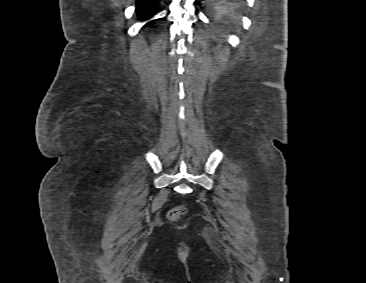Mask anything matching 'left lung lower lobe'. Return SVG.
I'll list each match as a JSON object with an SVG mask.
<instances>
[{
	"mask_svg": "<svg viewBox=\"0 0 366 283\" xmlns=\"http://www.w3.org/2000/svg\"><path fill=\"white\" fill-rule=\"evenodd\" d=\"M207 6L217 13H233L239 9L244 0H204Z\"/></svg>",
	"mask_w": 366,
	"mask_h": 283,
	"instance_id": "left-lung-lower-lobe-1",
	"label": "left lung lower lobe"
}]
</instances>
